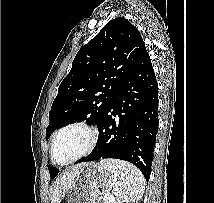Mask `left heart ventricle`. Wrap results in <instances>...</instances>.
Segmentation results:
<instances>
[{
	"instance_id": "1",
	"label": "left heart ventricle",
	"mask_w": 214,
	"mask_h": 203,
	"mask_svg": "<svg viewBox=\"0 0 214 203\" xmlns=\"http://www.w3.org/2000/svg\"><path fill=\"white\" fill-rule=\"evenodd\" d=\"M88 142L89 134L82 128H72L64 131L55 144V160L63 163L74 158L87 147Z\"/></svg>"
}]
</instances>
